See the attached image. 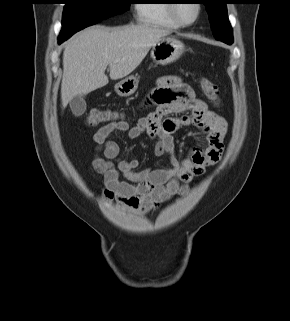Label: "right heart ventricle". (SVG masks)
Instances as JSON below:
<instances>
[{
  "label": "right heart ventricle",
  "instance_id": "1",
  "mask_svg": "<svg viewBox=\"0 0 290 321\" xmlns=\"http://www.w3.org/2000/svg\"><path fill=\"white\" fill-rule=\"evenodd\" d=\"M170 0H144L137 5L139 23L151 26L179 28L180 25L171 17Z\"/></svg>",
  "mask_w": 290,
  "mask_h": 321
}]
</instances>
